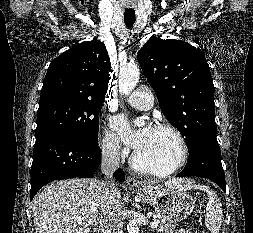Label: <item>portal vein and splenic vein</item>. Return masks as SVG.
Segmentation results:
<instances>
[{
	"instance_id": "18ae733b",
	"label": "portal vein and splenic vein",
	"mask_w": 253,
	"mask_h": 233,
	"mask_svg": "<svg viewBox=\"0 0 253 233\" xmlns=\"http://www.w3.org/2000/svg\"><path fill=\"white\" fill-rule=\"evenodd\" d=\"M150 226H151L152 228H157L159 225H158L156 222H151V223H150Z\"/></svg>"
}]
</instances>
